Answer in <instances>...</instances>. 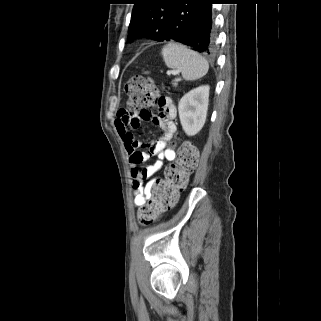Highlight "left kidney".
Instances as JSON below:
<instances>
[{"mask_svg": "<svg viewBox=\"0 0 321 321\" xmlns=\"http://www.w3.org/2000/svg\"><path fill=\"white\" fill-rule=\"evenodd\" d=\"M208 85L197 87L186 93L178 105L179 118L188 136L196 135L204 126L209 103Z\"/></svg>", "mask_w": 321, "mask_h": 321, "instance_id": "left-kidney-1", "label": "left kidney"}]
</instances>
